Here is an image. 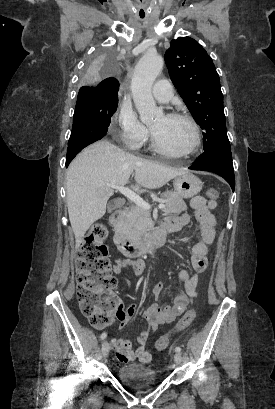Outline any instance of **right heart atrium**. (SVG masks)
Segmentation results:
<instances>
[{"instance_id": "obj_1", "label": "right heart atrium", "mask_w": 275, "mask_h": 409, "mask_svg": "<svg viewBox=\"0 0 275 409\" xmlns=\"http://www.w3.org/2000/svg\"><path fill=\"white\" fill-rule=\"evenodd\" d=\"M117 143H126V152L137 151L148 137L147 127L139 120L133 109L126 104H119L113 118Z\"/></svg>"}]
</instances>
